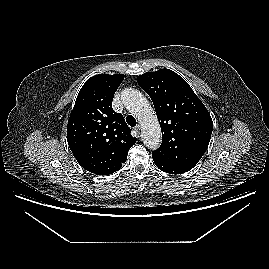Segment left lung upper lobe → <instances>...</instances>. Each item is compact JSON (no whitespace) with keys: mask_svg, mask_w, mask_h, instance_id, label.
<instances>
[{"mask_svg":"<svg viewBox=\"0 0 269 269\" xmlns=\"http://www.w3.org/2000/svg\"><path fill=\"white\" fill-rule=\"evenodd\" d=\"M151 97L162 131V144L152 157L176 167L193 168L208 148L211 116L189 84L169 69L137 77Z\"/></svg>","mask_w":269,"mask_h":269,"instance_id":"1","label":"left lung upper lobe"}]
</instances>
